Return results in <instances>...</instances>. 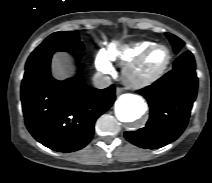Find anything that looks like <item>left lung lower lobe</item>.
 I'll return each mask as SVG.
<instances>
[{
	"instance_id": "1",
	"label": "left lung lower lobe",
	"mask_w": 212,
	"mask_h": 183,
	"mask_svg": "<svg viewBox=\"0 0 212 183\" xmlns=\"http://www.w3.org/2000/svg\"><path fill=\"white\" fill-rule=\"evenodd\" d=\"M191 52L181 54L173 69L137 92L148 101L150 118L144 128L125 132L131 143L146 149L163 147L184 131L197 95L198 78Z\"/></svg>"
}]
</instances>
